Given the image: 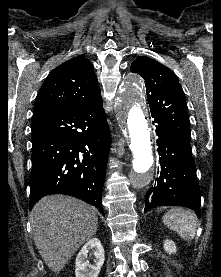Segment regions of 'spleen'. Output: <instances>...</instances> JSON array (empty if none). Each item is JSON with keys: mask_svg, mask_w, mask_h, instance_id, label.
I'll return each instance as SVG.
<instances>
[{"mask_svg": "<svg viewBox=\"0 0 221 277\" xmlns=\"http://www.w3.org/2000/svg\"><path fill=\"white\" fill-rule=\"evenodd\" d=\"M163 222L185 240H192L195 236L196 217L190 210L173 208L165 213Z\"/></svg>", "mask_w": 221, "mask_h": 277, "instance_id": "1", "label": "spleen"}]
</instances>
